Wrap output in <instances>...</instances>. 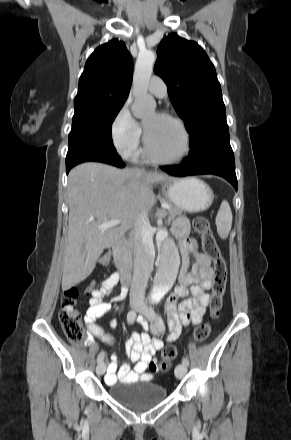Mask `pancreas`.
<instances>
[{
    "mask_svg": "<svg viewBox=\"0 0 291 440\" xmlns=\"http://www.w3.org/2000/svg\"><path fill=\"white\" fill-rule=\"evenodd\" d=\"M163 203H167L169 204V209H168V221H172L174 220L178 215H181L183 213V211L177 207H175L174 205L170 204L167 201H163ZM132 249H133V241L132 239H129L126 244L123 247V252L126 256H131L132 255Z\"/></svg>",
    "mask_w": 291,
    "mask_h": 440,
    "instance_id": "1",
    "label": "pancreas"
}]
</instances>
